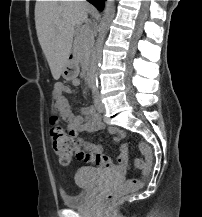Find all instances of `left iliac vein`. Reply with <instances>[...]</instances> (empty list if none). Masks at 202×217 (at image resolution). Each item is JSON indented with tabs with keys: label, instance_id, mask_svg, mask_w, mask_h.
<instances>
[{
	"label": "left iliac vein",
	"instance_id": "obj_1",
	"mask_svg": "<svg viewBox=\"0 0 202 217\" xmlns=\"http://www.w3.org/2000/svg\"><path fill=\"white\" fill-rule=\"evenodd\" d=\"M94 103H95V107L99 113H103L105 111V106L101 101V97L99 95V92H97L94 96Z\"/></svg>",
	"mask_w": 202,
	"mask_h": 217
}]
</instances>
